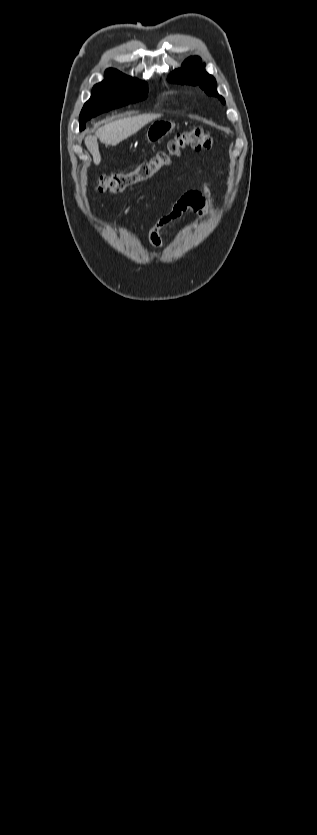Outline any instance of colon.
<instances>
[{
  "instance_id": "1",
  "label": "colon",
  "mask_w": 317,
  "mask_h": 835,
  "mask_svg": "<svg viewBox=\"0 0 317 835\" xmlns=\"http://www.w3.org/2000/svg\"><path fill=\"white\" fill-rule=\"evenodd\" d=\"M213 143V138L201 127L179 132L167 143L164 150L156 152L148 160L139 164L134 170L127 173H114L98 177L95 189L100 193L121 192L125 188L154 175L172 157L179 155L186 147H191L194 150H207L212 148Z\"/></svg>"
}]
</instances>
